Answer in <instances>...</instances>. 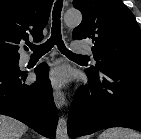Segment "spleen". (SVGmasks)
<instances>
[{"label":"spleen","instance_id":"3e777b00","mask_svg":"<svg viewBox=\"0 0 141 139\" xmlns=\"http://www.w3.org/2000/svg\"><path fill=\"white\" fill-rule=\"evenodd\" d=\"M98 139H141V134L127 128H109Z\"/></svg>","mask_w":141,"mask_h":139}]
</instances>
